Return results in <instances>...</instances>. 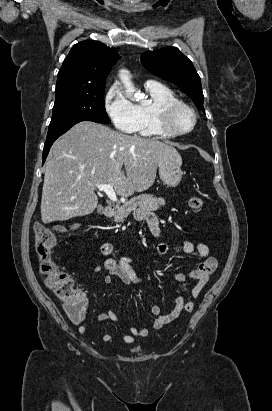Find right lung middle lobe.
Instances as JSON below:
<instances>
[{
	"instance_id": "1",
	"label": "right lung middle lobe",
	"mask_w": 272,
	"mask_h": 411,
	"mask_svg": "<svg viewBox=\"0 0 272 411\" xmlns=\"http://www.w3.org/2000/svg\"><path fill=\"white\" fill-rule=\"evenodd\" d=\"M104 91L105 84L56 92L47 137L60 134L81 121L109 124Z\"/></svg>"
}]
</instances>
